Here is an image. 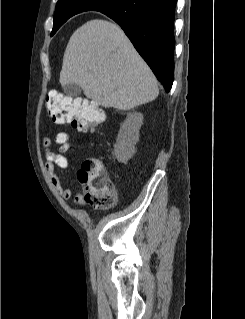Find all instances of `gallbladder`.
Returning <instances> with one entry per match:
<instances>
[{"instance_id":"gallbladder-1","label":"gallbladder","mask_w":245,"mask_h":319,"mask_svg":"<svg viewBox=\"0 0 245 319\" xmlns=\"http://www.w3.org/2000/svg\"><path fill=\"white\" fill-rule=\"evenodd\" d=\"M63 89L64 92L71 97H78L82 92L81 87L74 83L65 85Z\"/></svg>"}]
</instances>
